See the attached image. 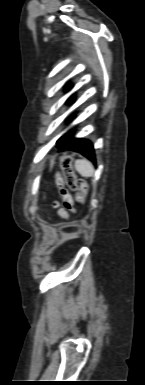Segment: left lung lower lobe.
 I'll list each match as a JSON object with an SVG mask.
<instances>
[{"label": "left lung lower lobe", "mask_w": 145, "mask_h": 385, "mask_svg": "<svg viewBox=\"0 0 145 385\" xmlns=\"http://www.w3.org/2000/svg\"><path fill=\"white\" fill-rule=\"evenodd\" d=\"M57 147L63 150H73L80 152L89 160L95 163V155L92 144L88 140L72 138L71 135H64L57 141Z\"/></svg>", "instance_id": "left-lung-lower-lobe-1"}]
</instances>
